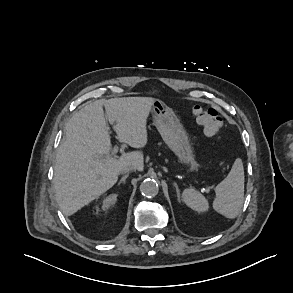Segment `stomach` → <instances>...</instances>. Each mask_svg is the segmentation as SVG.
<instances>
[{
    "label": "stomach",
    "instance_id": "obj_1",
    "mask_svg": "<svg viewBox=\"0 0 293 293\" xmlns=\"http://www.w3.org/2000/svg\"><path fill=\"white\" fill-rule=\"evenodd\" d=\"M151 111L154 123L167 146L189 171L197 170L198 164L188 135L173 110L155 99Z\"/></svg>",
    "mask_w": 293,
    "mask_h": 293
}]
</instances>
